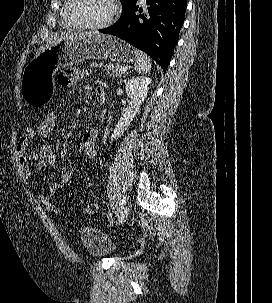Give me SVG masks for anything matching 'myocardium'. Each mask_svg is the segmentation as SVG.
I'll list each match as a JSON object with an SVG mask.
<instances>
[{
    "label": "myocardium",
    "instance_id": "obj_1",
    "mask_svg": "<svg viewBox=\"0 0 272 303\" xmlns=\"http://www.w3.org/2000/svg\"><path fill=\"white\" fill-rule=\"evenodd\" d=\"M73 2H74V0H67L66 1L65 7H64V13H63L65 21L73 28L82 29V30H101V29H105V28L109 27L110 25H112L113 22L116 20V18L119 15V5H118L117 0H109V2L111 4V13H110L109 17L104 22H102L100 24H95V25L78 23V22L74 21L70 17V14H69L70 7H71Z\"/></svg>",
    "mask_w": 272,
    "mask_h": 303
}]
</instances>
